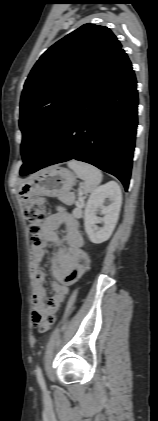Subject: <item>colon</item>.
<instances>
[{
  "label": "colon",
  "instance_id": "1",
  "mask_svg": "<svg viewBox=\"0 0 158 421\" xmlns=\"http://www.w3.org/2000/svg\"><path fill=\"white\" fill-rule=\"evenodd\" d=\"M23 214L28 223L31 242L33 245L37 244L39 234L41 232L43 222L45 219V210L42 198H35L24 205ZM56 320L53 311L47 313L40 319L39 330L41 332L48 331L52 328Z\"/></svg>",
  "mask_w": 158,
  "mask_h": 421
}]
</instances>
